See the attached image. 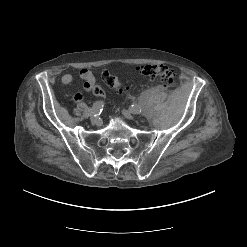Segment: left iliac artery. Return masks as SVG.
Listing matches in <instances>:
<instances>
[{
	"mask_svg": "<svg viewBox=\"0 0 247 247\" xmlns=\"http://www.w3.org/2000/svg\"><path fill=\"white\" fill-rule=\"evenodd\" d=\"M130 112L132 114H139L141 112V107L135 103L130 107Z\"/></svg>",
	"mask_w": 247,
	"mask_h": 247,
	"instance_id": "left-iliac-artery-1",
	"label": "left iliac artery"
}]
</instances>
